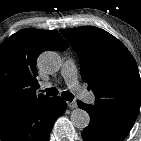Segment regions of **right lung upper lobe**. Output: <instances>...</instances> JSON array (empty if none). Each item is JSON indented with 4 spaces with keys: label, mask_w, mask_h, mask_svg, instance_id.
Wrapping results in <instances>:
<instances>
[{
    "label": "right lung upper lobe",
    "mask_w": 141,
    "mask_h": 141,
    "mask_svg": "<svg viewBox=\"0 0 141 141\" xmlns=\"http://www.w3.org/2000/svg\"><path fill=\"white\" fill-rule=\"evenodd\" d=\"M67 43L54 30H21L0 44V120L11 111L49 97L36 95V59L47 50L63 51Z\"/></svg>",
    "instance_id": "cb5924a9"
}]
</instances>
